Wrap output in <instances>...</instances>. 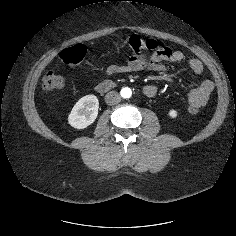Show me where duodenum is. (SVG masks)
<instances>
[{
    "label": "duodenum",
    "instance_id": "1",
    "mask_svg": "<svg viewBox=\"0 0 236 236\" xmlns=\"http://www.w3.org/2000/svg\"><path fill=\"white\" fill-rule=\"evenodd\" d=\"M116 87V83L111 80H105L96 85V90L100 93H106Z\"/></svg>",
    "mask_w": 236,
    "mask_h": 236
}]
</instances>
